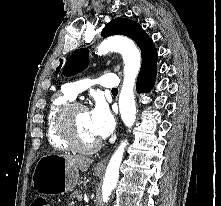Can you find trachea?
<instances>
[{
    "label": "trachea",
    "instance_id": "3493384b",
    "mask_svg": "<svg viewBox=\"0 0 221 206\" xmlns=\"http://www.w3.org/2000/svg\"><path fill=\"white\" fill-rule=\"evenodd\" d=\"M112 92H118V89H112Z\"/></svg>",
    "mask_w": 221,
    "mask_h": 206
}]
</instances>
